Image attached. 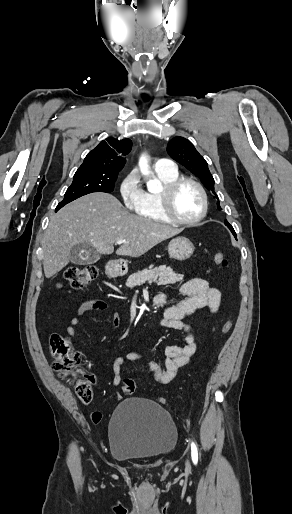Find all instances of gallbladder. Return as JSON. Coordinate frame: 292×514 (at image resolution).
Listing matches in <instances>:
<instances>
[{
    "mask_svg": "<svg viewBox=\"0 0 292 514\" xmlns=\"http://www.w3.org/2000/svg\"><path fill=\"white\" fill-rule=\"evenodd\" d=\"M69 260L72 264L88 266V264H95L97 262L98 254L89 244H76L70 250Z\"/></svg>",
    "mask_w": 292,
    "mask_h": 514,
    "instance_id": "1",
    "label": "gallbladder"
}]
</instances>
